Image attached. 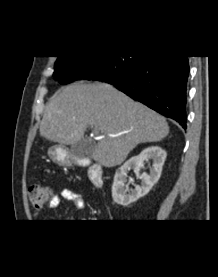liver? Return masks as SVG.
<instances>
[{"mask_svg": "<svg viewBox=\"0 0 218 277\" xmlns=\"http://www.w3.org/2000/svg\"><path fill=\"white\" fill-rule=\"evenodd\" d=\"M90 126L101 137L92 159L106 167L120 165L138 144L160 141L169 133L163 116L100 82L59 89L45 108L40 133L61 146L73 145Z\"/></svg>", "mask_w": 218, "mask_h": 277, "instance_id": "6515ba94", "label": "liver"}]
</instances>
